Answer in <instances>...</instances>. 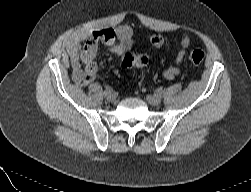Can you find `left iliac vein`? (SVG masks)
<instances>
[{
	"label": "left iliac vein",
	"mask_w": 251,
	"mask_h": 192,
	"mask_svg": "<svg viewBox=\"0 0 251 192\" xmlns=\"http://www.w3.org/2000/svg\"><path fill=\"white\" fill-rule=\"evenodd\" d=\"M147 101L149 104H151L153 106H158L161 103L160 97H158L156 95H148Z\"/></svg>",
	"instance_id": "obj_1"
}]
</instances>
